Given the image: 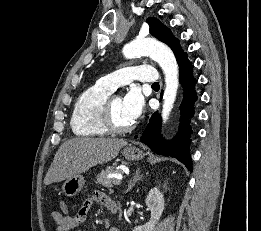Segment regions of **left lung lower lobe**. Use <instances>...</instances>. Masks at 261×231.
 Returning a JSON list of instances; mask_svg holds the SVG:
<instances>
[{
  "label": "left lung lower lobe",
  "instance_id": "left-lung-lower-lobe-1",
  "mask_svg": "<svg viewBox=\"0 0 261 231\" xmlns=\"http://www.w3.org/2000/svg\"><path fill=\"white\" fill-rule=\"evenodd\" d=\"M179 74L184 92L182 103L180 104V126L177 134L169 141L161 136V117L154 113L147 128L140 136V141L149 146L155 153L171 156L182 162L188 170H192V160L190 155V141L193 133L190 120L193 117L194 103L197 100L195 91L196 79L193 76V65L188 60L187 54L179 61Z\"/></svg>",
  "mask_w": 261,
  "mask_h": 231
}]
</instances>
